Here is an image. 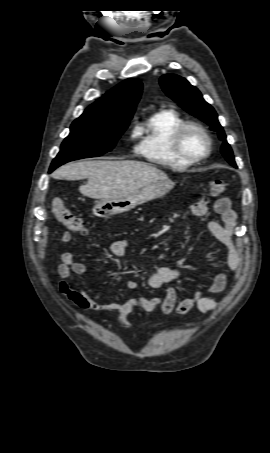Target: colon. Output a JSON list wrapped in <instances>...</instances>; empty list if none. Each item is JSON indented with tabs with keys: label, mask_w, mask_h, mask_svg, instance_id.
<instances>
[{
	"label": "colon",
	"mask_w": 270,
	"mask_h": 453,
	"mask_svg": "<svg viewBox=\"0 0 270 453\" xmlns=\"http://www.w3.org/2000/svg\"><path fill=\"white\" fill-rule=\"evenodd\" d=\"M228 189L229 184L225 181L216 180L210 184V193L213 196L223 195ZM51 206L57 220L70 231L82 234L87 232L85 220L81 216L73 213L61 198H54Z\"/></svg>",
	"instance_id": "obj_1"
}]
</instances>
